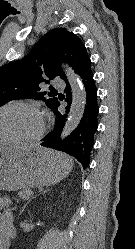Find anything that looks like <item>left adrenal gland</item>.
Listing matches in <instances>:
<instances>
[{"label":"left adrenal gland","instance_id":"a2214340","mask_svg":"<svg viewBox=\"0 0 135 249\" xmlns=\"http://www.w3.org/2000/svg\"><path fill=\"white\" fill-rule=\"evenodd\" d=\"M48 191H50V189L41 190V191L39 192L38 195H35V196H33L31 199H29V200L27 201V203L24 204V206L22 207V210L20 211V215L23 213V211L25 210L26 206L31 202L32 199H34V198H36L37 196H39L40 194H44V193H46V192H48Z\"/></svg>","mask_w":135,"mask_h":249}]
</instances>
